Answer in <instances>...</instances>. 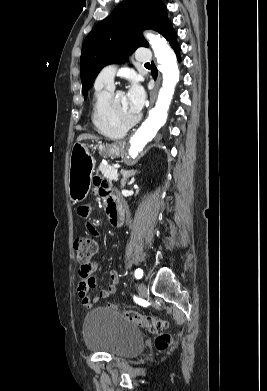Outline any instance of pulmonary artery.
I'll return each instance as SVG.
<instances>
[{"mask_svg": "<svg viewBox=\"0 0 267 391\" xmlns=\"http://www.w3.org/2000/svg\"><path fill=\"white\" fill-rule=\"evenodd\" d=\"M150 58H151V53L148 49L146 48L138 49L136 53V59L139 62H149ZM115 72H116V66L114 64L105 66L98 74L95 81V86L107 87L113 89Z\"/></svg>", "mask_w": 267, "mask_h": 391, "instance_id": "e3ab8cb5", "label": "pulmonary artery"}]
</instances>
